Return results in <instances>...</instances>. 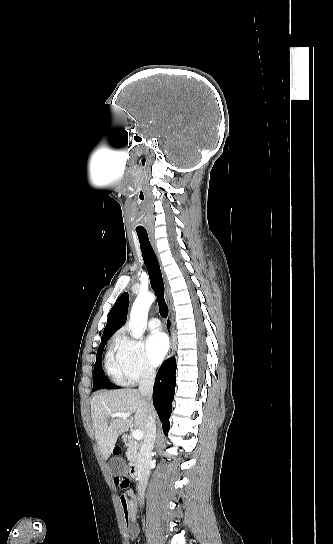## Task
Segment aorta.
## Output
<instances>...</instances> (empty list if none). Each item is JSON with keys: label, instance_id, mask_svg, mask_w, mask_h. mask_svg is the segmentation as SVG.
Returning a JSON list of instances; mask_svg holds the SVG:
<instances>
[{"label": "aorta", "instance_id": "aorta-1", "mask_svg": "<svg viewBox=\"0 0 333 544\" xmlns=\"http://www.w3.org/2000/svg\"><path fill=\"white\" fill-rule=\"evenodd\" d=\"M155 300V296L148 293H139L130 313L129 328L132 337L138 339L147 325L148 311Z\"/></svg>", "mask_w": 333, "mask_h": 544}]
</instances>
